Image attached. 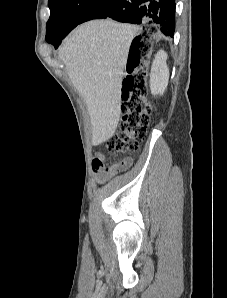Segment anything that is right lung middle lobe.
Returning <instances> with one entry per match:
<instances>
[{
  "label": "right lung middle lobe",
  "instance_id": "dd1d6c3e",
  "mask_svg": "<svg viewBox=\"0 0 227 298\" xmlns=\"http://www.w3.org/2000/svg\"><path fill=\"white\" fill-rule=\"evenodd\" d=\"M101 0H49L50 18L46 39L53 34L71 31Z\"/></svg>",
  "mask_w": 227,
  "mask_h": 298
}]
</instances>
